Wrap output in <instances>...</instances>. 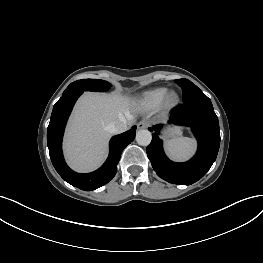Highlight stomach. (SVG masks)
<instances>
[{"label": "stomach", "instance_id": "1", "mask_svg": "<svg viewBox=\"0 0 263 263\" xmlns=\"http://www.w3.org/2000/svg\"><path fill=\"white\" fill-rule=\"evenodd\" d=\"M181 134H182V129L179 128V127H175V128H173V129L170 131L169 136H170V137H175V136H179V135H181Z\"/></svg>", "mask_w": 263, "mask_h": 263}]
</instances>
